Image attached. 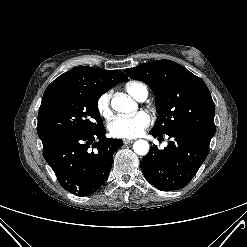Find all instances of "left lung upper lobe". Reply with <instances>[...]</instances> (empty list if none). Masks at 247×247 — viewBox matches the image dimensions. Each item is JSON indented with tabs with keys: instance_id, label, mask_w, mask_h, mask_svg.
<instances>
[{
	"instance_id": "1",
	"label": "left lung upper lobe",
	"mask_w": 247,
	"mask_h": 247,
	"mask_svg": "<svg viewBox=\"0 0 247 247\" xmlns=\"http://www.w3.org/2000/svg\"><path fill=\"white\" fill-rule=\"evenodd\" d=\"M126 73L145 82L154 93L159 116L152 132L188 129L214 136V103L202 79L170 60L145 63Z\"/></svg>"
}]
</instances>
